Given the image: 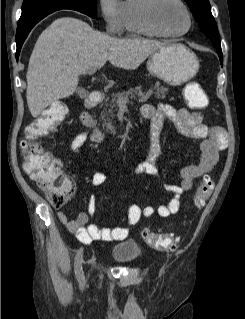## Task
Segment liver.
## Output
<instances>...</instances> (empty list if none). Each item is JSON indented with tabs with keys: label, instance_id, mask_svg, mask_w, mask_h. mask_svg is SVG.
<instances>
[{
	"label": "liver",
	"instance_id": "liver-1",
	"mask_svg": "<svg viewBox=\"0 0 245 319\" xmlns=\"http://www.w3.org/2000/svg\"><path fill=\"white\" fill-rule=\"evenodd\" d=\"M165 45L151 39L113 38L74 17L56 19L37 39L29 60L26 98L31 115L37 117L50 104L71 96L80 74L107 61L135 70Z\"/></svg>",
	"mask_w": 245,
	"mask_h": 319
}]
</instances>
